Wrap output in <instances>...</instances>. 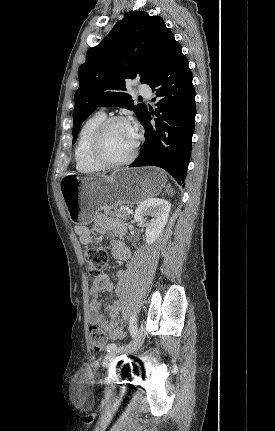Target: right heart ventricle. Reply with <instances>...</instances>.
<instances>
[{
    "mask_svg": "<svg viewBox=\"0 0 275 431\" xmlns=\"http://www.w3.org/2000/svg\"><path fill=\"white\" fill-rule=\"evenodd\" d=\"M105 119L103 112H97L87 118L80 128L75 146V163L77 170L82 173H94L102 169L91 159L89 145L96 128Z\"/></svg>",
    "mask_w": 275,
    "mask_h": 431,
    "instance_id": "e07e8e85",
    "label": "right heart ventricle"
}]
</instances>
